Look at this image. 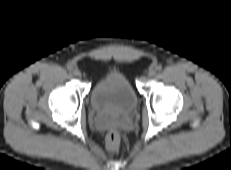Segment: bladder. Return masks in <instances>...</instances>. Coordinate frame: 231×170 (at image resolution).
<instances>
[{
    "label": "bladder",
    "mask_w": 231,
    "mask_h": 170,
    "mask_svg": "<svg viewBox=\"0 0 231 170\" xmlns=\"http://www.w3.org/2000/svg\"><path fill=\"white\" fill-rule=\"evenodd\" d=\"M137 105L136 93L129 80L118 71L102 76L92 88L90 106L100 116H122Z\"/></svg>",
    "instance_id": "bladder-1"
}]
</instances>
